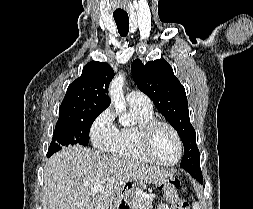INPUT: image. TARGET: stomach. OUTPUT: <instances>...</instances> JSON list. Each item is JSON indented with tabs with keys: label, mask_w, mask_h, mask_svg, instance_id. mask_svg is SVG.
Wrapping results in <instances>:
<instances>
[{
	"label": "stomach",
	"mask_w": 253,
	"mask_h": 209,
	"mask_svg": "<svg viewBox=\"0 0 253 209\" xmlns=\"http://www.w3.org/2000/svg\"><path fill=\"white\" fill-rule=\"evenodd\" d=\"M168 181L167 177L158 181H121L118 196H115L111 209H135L132 206V190H146V186H157L155 192H166Z\"/></svg>",
	"instance_id": "stomach-1"
}]
</instances>
